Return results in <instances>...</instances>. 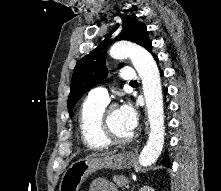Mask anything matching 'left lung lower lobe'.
<instances>
[{"label":"left lung lower lobe","instance_id":"obj_1","mask_svg":"<svg viewBox=\"0 0 221 191\" xmlns=\"http://www.w3.org/2000/svg\"><path fill=\"white\" fill-rule=\"evenodd\" d=\"M147 50H148L149 52H151V50H152V44H150V45L148 46ZM153 56H154L155 60L158 61V57H157L156 55H153ZM161 75L163 76V73H162V72H161ZM165 92H167V89H165ZM161 163H162L164 166L169 167L170 164H169V158H168L167 154H165L164 158L161 160Z\"/></svg>","mask_w":221,"mask_h":191}]
</instances>
